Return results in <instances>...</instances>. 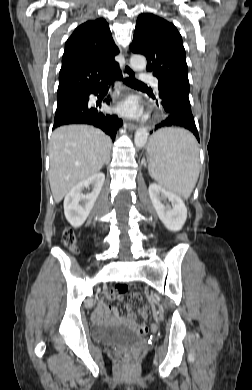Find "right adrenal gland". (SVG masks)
<instances>
[{"label":"right adrenal gland","mask_w":252,"mask_h":390,"mask_svg":"<svg viewBox=\"0 0 252 390\" xmlns=\"http://www.w3.org/2000/svg\"><path fill=\"white\" fill-rule=\"evenodd\" d=\"M108 163H109V159L107 160L106 164H108Z\"/></svg>","instance_id":"1"}]
</instances>
